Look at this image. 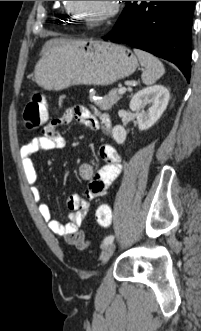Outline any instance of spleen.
Returning <instances> with one entry per match:
<instances>
[{"mask_svg":"<svg viewBox=\"0 0 201 331\" xmlns=\"http://www.w3.org/2000/svg\"><path fill=\"white\" fill-rule=\"evenodd\" d=\"M140 64L145 68L141 78L145 85L154 84L164 73L165 68L162 62L154 55L143 50L134 49Z\"/></svg>","mask_w":201,"mask_h":331,"instance_id":"3e777b00","label":"spleen"}]
</instances>
